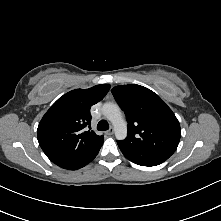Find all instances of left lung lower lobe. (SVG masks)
I'll list each match as a JSON object with an SVG mask.
<instances>
[{
  "label": "left lung lower lobe",
  "instance_id": "0a47b994",
  "mask_svg": "<svg viewBox=\"0 0 221 221\" xmlns=\"http://www.w3.org/2000/svg\"><path fill=\"white\" fill-rule=\"evenodd\" d=\"M117 144L127 159L141 166H156L163 163L171 156L161 152L133 148L121 141H118Z\"/></svg>",
  "mask_w": 221,
  "mask_h": 221
}]
</instances>
